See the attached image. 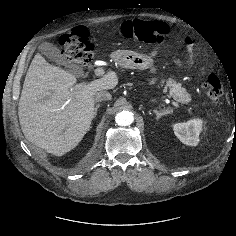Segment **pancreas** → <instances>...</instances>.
Here are the masks:
<instances>
[{
	"label": "pancreas",
	"instance_id": "pancreas-1",
	"mask_svg": "<svg viewBox=\"0 0 236 236\" xmlns=\"http://www.w3.org/2000/svg\"><path fill=\"white\" fill-rule=\"evenodd\" d=\"M151 72H155V69L152 68ZM155 80H151L150 84H154ZM169 87L170 95L178 102L180 103H189L191 101L190 94L186 91L185 88L181 86V84L176 83V81L169 79L167 81L165 91H167V88Z\"/></svg>",
	"mask_w": 236,
	"mask_h": 236
}]
</instances>
